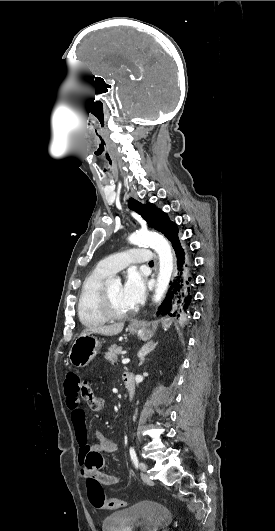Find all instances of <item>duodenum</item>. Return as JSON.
<instances>
[{
  "label": "duodenum",
  "mask_w": 275,
  "mask_h": 531,
  "mask_svg": "<svg viewBox=\"0 0 275 531\" xmlns=\"http://www.w3.org/2000/svg\"><path fill=\"white\" fill-rule=\"evenodd\" d=\"M123 385L126 390L127 399L130 401L135 395V381L130 372H125L122 375Z\"/></svg>",
  "instance_id": "obj_1"
}]
</instances>
